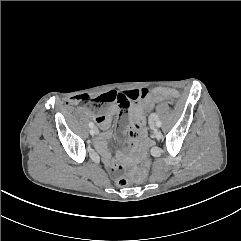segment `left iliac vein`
I'll list each match as a JSON object with an SVG mask.
<instances>
[{"label": "left iliac vein", "instance_id": "1", "mask_svg": "<svg viewBox=\"0 0 241 241\" xmlns=\"http://www.w3.org/2000/svg\"><path fill=\"white\" fill-rule=\"evenodd\" d=\"M153 132H154L155 134L158 133V128H157L156 126L153 127Z\"/></svg>", "mask_w": 241, "mask_h": 241}]
</instances>
